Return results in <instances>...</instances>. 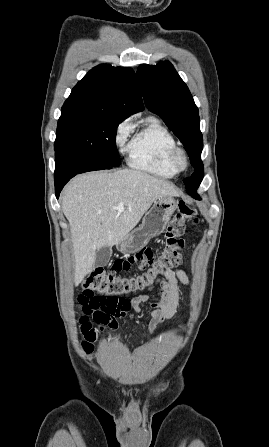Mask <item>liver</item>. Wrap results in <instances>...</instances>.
I'll use <instances>...</instances> for the list:
<instances>
[{"label":"liver","instance_id":"liver-1","mask_svg":"<svg viewBox=\"0 0 269 447\" xmlns=\"http://www.w3.org/2000/svg\"><path fill=\"white\" fill-rule=\"evenodd\" d=\"M179 196L168 180L138 170H105L73 178L62 194V212L71 225L74 283L91 271L96 251L125 239L155 200ZM124 202V212L116 210Z\"/></svg>","mask_w":269,"mask_h":447}]
</instances>
